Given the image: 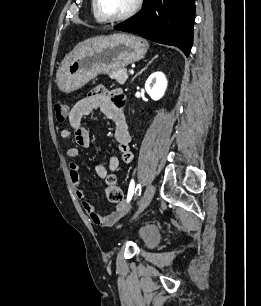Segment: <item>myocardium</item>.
<instances>
[{
	"mask_svg": "<svg viewBox=\"0 0 261 306\" xmlns=\"http://www.w3.org/2000/svg\"><path fill=\"white\" fill-rule=\"evenodd\" d=\"M142 3H143V0H135L130 10H128L126 13L120 16H115V17L107 16L102 12L100 5H99V0H93V7H94V11L96 15L103 22L114 23V22H120V21H124V20L131 18L133 15H135L139 11V9L142 6Z\"/></svg>",
	"mask_w": 261,
	"mask_h": 306,
	"instance_id": "obj_1",
	"label": "myocardium"
}]
</instances>
